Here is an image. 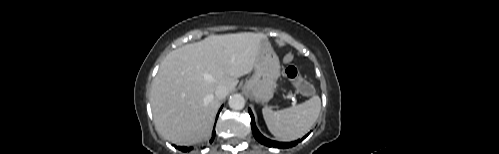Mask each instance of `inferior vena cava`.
<instances>
[{
    "label": "inferior vena cava",
    "mask_w": 499,
    "mask_h": 154,
    "mask_svg": "<svg viewBox=\"0 0 499 154\" xmlns=\"http://www.w3.org/2000/svg\"><path fill=\"white\" fill-rule=\"evenodd\" d=\"M229 91L226 86L219 85L215 90V96L218 99H223L228 95Z\"/></svg>",
    "instance_id": "inferior-vena-cava-1"
}]
</instances>
